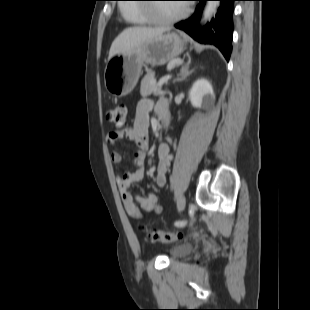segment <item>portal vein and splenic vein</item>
Instances as JSON below:
<instances>
[{"instance_id": "1", "label": "portal vein and splenic vein", "mask_w": 310, "mask_h": 310, "mask_svg": "<svg viewBox=\"0 0 310 310\" xmlns=\"http://www.w3.org/2000/svg\"><path fill=\"white\" fill-rule=\"evenodd\" d=\"M170 79H171V75L164 76L159 80L158 85L162 86L163 84L167 83Z\"/></svg>"}]
</instances>
